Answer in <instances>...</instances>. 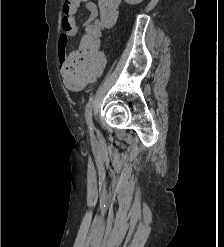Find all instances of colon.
Returning a JSON list of instances; mask_svg holds the SVG:
<instances>
[{
  "label": "colon",
  "instance_id": "colon-1",
  "mask_svg": "<svg viewBox=\"0 0 224 247\" xmlns=\"http://www.w3.org/2000/svg\"><path fill=\"white\" fill-rule=\"evenodd\" d=\"M119 4L120 0H98L100 21L87 30L82 39V47L76 56L61 63V75L69 87H79L86 81L100 75L103 68V60L99 55L100 30L115 23ZM78 8V0H65L62 7V17L73 16Z\"/></svg>",
  "mask_w": 224,
  "mask_h": 247
}]
</instances>
